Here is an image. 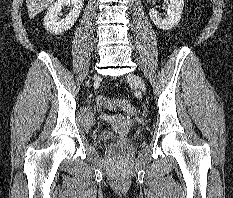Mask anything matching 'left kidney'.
Here are the masks:
<instances>
[{
	"label": "left kidney",
	"instance_id": "left-kidney-1",
	"mask_svg": "<svg viewBox=\"0 0 233 198\" xmlns=\"http://www.w3.org/2000/svg\"><path fill=\"white\" fill-rule=\"evenodd\" d=\"M184 0H168L167 15L162 17L155 9H150L149 15L154 24L162 30H170L175 27L182 15Z\"/></svg>",
	"mask_w": 233,
	"mask_h": 198
}]
</instances>
